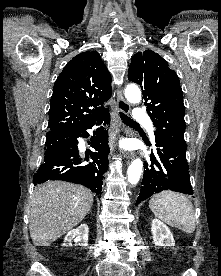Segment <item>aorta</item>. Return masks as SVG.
<instances>
[{
    "mask_svg": "<svg viewBox=\"0 0 221 276\" xmlns=\"http://www.w3.org/2000/svg\"><path fill=\"white\" fill-rule=\"evenodd\" d=\"M125 97L128 102L132 104H138L141 101V91L135 85H129L125 89ZM143 163L141 159H134L129 165L127 171L128 182L132 185H136L140 179L142 173Z\"/></svg>",
    "mask_w": 221,
    "mask_h": 276,
    "instance_id": "762f6f07",
    "label": "aorta"
}]
</instances>
